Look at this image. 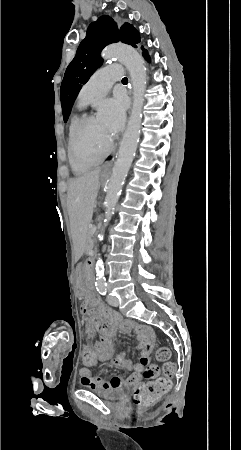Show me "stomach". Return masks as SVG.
<instances>
[{"instance_id":"obj_1","label":"stomach","mask_w":241,"mask_h":450,"mask_svg":"<svg viewBox=\"0 0 241 450\" xmlns=\"http://www.w3.org/2000/svg\"><path fill=\"white\" fill-rule=\"evenodd\" d=\"M104 177V174L102 175ZM84 270L82 264H79L76 269V286L82 292L84 289Z\"/></svg>"}]
</instances>
